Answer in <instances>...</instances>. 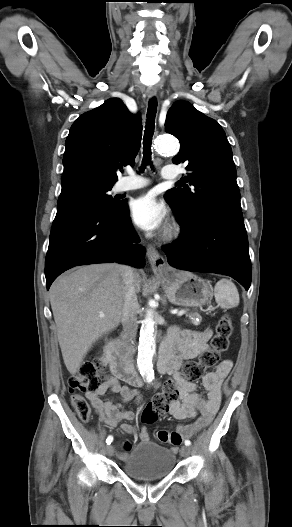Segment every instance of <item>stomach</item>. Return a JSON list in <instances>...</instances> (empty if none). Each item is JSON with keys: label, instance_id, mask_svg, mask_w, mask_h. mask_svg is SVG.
<instances>
[{"label": "stomach", "instance_id": "1", "mask_svg": "<svg viewBox=\"0 0 292 527\" xmlns=\"http://www.w3.org/2000/svg\"><path fill=\"white\" fill-rule=\"evenodd\" d=\"M158 276L168 300L175 305L198 307L211 297L210 285L193 273L169 269Z\"/></svg>", "mask_w": 292, "mask_h": 527}]
</instances>
